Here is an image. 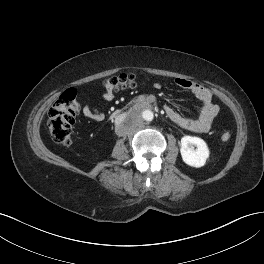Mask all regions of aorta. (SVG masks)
<instances>
[{
  "mask_svg": "<svg viewBox=\"0 0 264 264\" xmlns=\"http://www.w3.org/2000/svg\"><path fill=\"white\" fill-rule=\"evenodd\" d=\"M139 116L142 119V121H147V122L152 121L154 118L153 112L148 109L141 111L139 113Z\"/></svg>",
  "mask_w": 264,
  "mask_h": 264,
  "instance_id": "obj_1",
  "label": "aorta"
}]
</instances>
